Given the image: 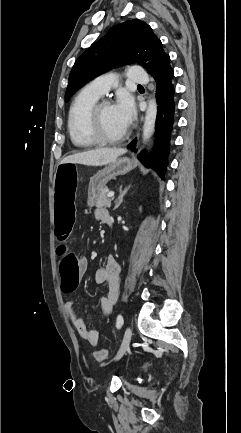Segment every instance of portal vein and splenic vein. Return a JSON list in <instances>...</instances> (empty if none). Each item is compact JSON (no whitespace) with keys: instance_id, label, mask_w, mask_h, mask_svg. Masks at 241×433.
<instances>
[{"instance_id":"1","label":"portal vein and splenic vein","mask_w":241,"mask_h":433,"mask_svg":"<svg viewBox=\"0 0 241 433\" xmlns=\"http://www.w3.org/2000/svg\"><path fill=\"white\" fill-rule=\"evenodd\" d=\"M114 194H115V193H114L113 191H110V192L107 194V196H108V197H113Z\"/></svg>"}]
</instances>
